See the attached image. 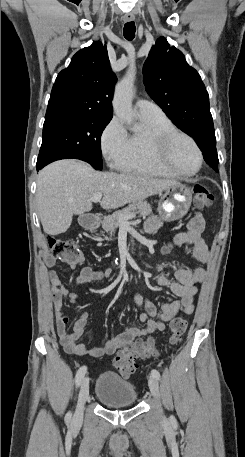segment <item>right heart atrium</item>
I'll return each mask as SVG.
<instances>
[{"label":"right heart atrium","instance_id":"right-heart-atrium-1","mask_svg":"<svg viewBox=\"0 0 245 457\" xmlns=\"http://www.w3.org/2000/svg\"><path fill=\"white\" fill-rule=\"evenodd\" d=\"M129 142L130 135L123 122L117 116H113L101 134L104 155L110 160L119 158L125 153Z\"/></svg>","mask_w":245,"mask_h":457}]
</instances>
